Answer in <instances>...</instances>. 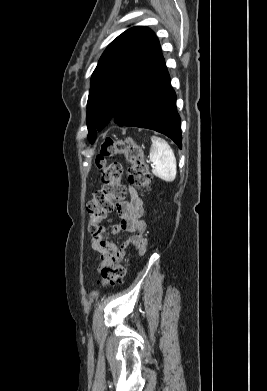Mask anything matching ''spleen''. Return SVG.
<instances>
[{
    "label": "spleen",
    "mask_w": 267,
    "mask_h": 391,
    "mask_svg": "<svg viewBox=\"0 0 267 391\" xmlns=\"http://www.w3.org/2000/svg\"><path fill=\"white\" fill-rule=\"evenodd\" d=\"M150 160L154 164L153 174L166 182L176 178L177 165L174 152L170 145L162 138L151 137Z\"/></svg>",
    "instance_id": "1"
}]
</instances>
